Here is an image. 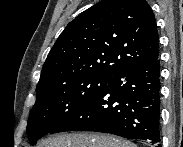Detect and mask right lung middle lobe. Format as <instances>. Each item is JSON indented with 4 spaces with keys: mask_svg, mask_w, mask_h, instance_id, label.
I'll return each instance as SVG.
<instances>
[{
    "mask_svg": "<svg viewBox=\"0 0 183 147\" xmlns=\"http://www.w3.org/2000/svg\"><path fill=\"white\" fill-rule=\"evenodd\" d=\"M110 78L84 77L37 90L27 125L31 144L51 133L78 107L107 84Z\"/></svg>",
    "mask_w": 183,
    "mask_h": 147,
    "instance_id": "right-lung-middle-lobe-1",
    "label": "right lung middle lobe"
}]
</instances>
